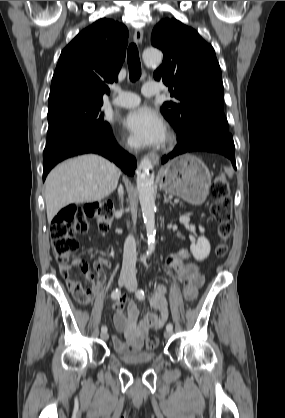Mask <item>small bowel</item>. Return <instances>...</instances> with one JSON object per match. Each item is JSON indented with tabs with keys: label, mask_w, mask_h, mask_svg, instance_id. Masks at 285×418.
<instances>
[{
	"label": "small bowel",
	"mask_w": 285,
	"mask_h": 418,
	"mask_svg": "<svg viewBox=\"0 0 285 418\" xmlns=\"http://www.w3.org/2000/svg\"><path fill=\"white\" fill-rule=\"evenodd\" d=\"M190 258L186 250H181L177 254L170 255L166 259V266L169 271L174 272L180 280L183 281L181 288L185 299H195L199 289L204 285V275L199 271L197 265L193 262H187ZM107 264V260H101ZM73 267L82 268L85 280L87 281L90 293V299L101 294L99 283H96L88 272V265L80 258H73ZM67 286L72 289L74 280L67 273L64 276ZM165 287L158 285L150 294L152 312L143 315L138 321L139 309L134 302L128 303L127 313L123 312L124 299L119 298L113 305L115 311L114 322L116 328L124 333L127 344L123 343L117 336L112 337L114 348L121 352L130 350H139L142 341L147 337L150 331L160 328L167 319V302L165 298ZM81 305L87 303L79 302Z\"/></svg>",
	"instance_id": "small-bowel-1"
}]
</instances>
